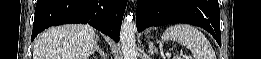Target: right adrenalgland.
Listing matches in <instances>:
<instances>
[{
	"instance_id": "1",
	"label": "right adrenal gland",
	"mask_w": 261,
	"mask_h": 59,
	"mask_svg": "<svg viewBox=\"0 0 261 59\" xmlns=\"http://www.w3.org/2000/svg\"><path fill=\"white\" fill-rule=\"evenodd\" d=\"M95 52L100 54L105 59L106 54L104 53V51L101 50V48L98 45V37L96 38V41L94 44V50H93L92 54L94 55Z\"/></svg>"
}]
</instances>
